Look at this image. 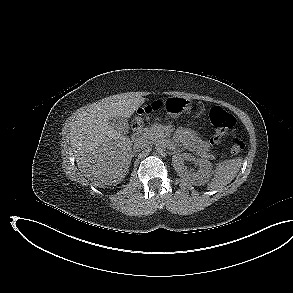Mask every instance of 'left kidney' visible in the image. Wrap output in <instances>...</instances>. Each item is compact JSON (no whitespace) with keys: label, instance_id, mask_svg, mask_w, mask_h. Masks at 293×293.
Wrapping results in <instances>:
<instances>
[{"label":"left kidney","instance_id":"left-kidney-1","mask_svg":"<svg viewBox=\"0 0 293 293\" xmlns=\"http://www.w3.org/2000/svg\"><path fill=\"white\" fill-rule=\"evenodd\" d=\"M194 161L198 166L197 172L187 170L185 161ZM173 167L178 175L194 185H202L206 183L212 172V164L205 159H195L190 153H182L174 155L172 158Z\"/></svg>","mask_w":293,"mask_h":293}]
</instances>
